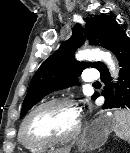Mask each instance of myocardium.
Returning <instances> with one entry per match:
<instances>
[{"mask_svg": "<svg viewBox=\"0 0 130 153\" xmlns=\"http://www.w3.org/2000/svg\"><path fill=\"white\" fill-rule=\"evenodd\" d=\"M51 105H67L76 109L78 113V121L75 128L68 136L62 137V138H47V139L30 138L26 133V127L29 120L36 112H38L44 107L51 106ZM81 127H82V118H81V114L77 107L76 102L70 98H53L40 103L26 115V117L24 118L20 126V136L26 145L32 146V147H50L55 145H64L73 141L79 135L81 131Z\"/></svg>", "mask_w": 130, "mask_h": 153, "instance_id": "obj_1", "label": "myocardium"}]
</instances>
